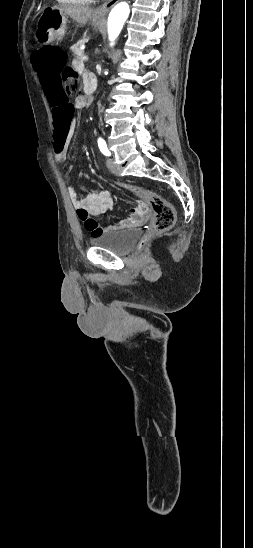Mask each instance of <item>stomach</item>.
Here are the masks:
<instances>
[{"label": "stomach", "mask_w": 253, "mask_h": 548, "mask_svg": "<svg viewBox=\"0 0 253 548\" xmlns=\"http://www.w3.org/2000/svg\"><path fill=\"white\" fill-rule=\"evenodd\" d=\"M67 16L56 9H47L42 14L37 31V40L42 44L58 42L66 32ZM99 19H93V26L98 28Z\"/></svg>", "instance_id": "stomach-1"}]
</instances>
